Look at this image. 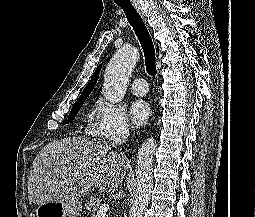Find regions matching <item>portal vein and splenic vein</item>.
<instances>
[{"label": "portal vein and splenic vein", "mask_w": 255, "mask_h": 217, "mask_svg": "<svg viewBox=\"0 0 255 217\" xmlns=\"http://www.w3.org/2000/svg\"><path fill=\"white\" fill-rule=\"evenodd\" d=\"M108 209H109V205L108 204H102L100 207H99V209H98V211H97V217H100V216H102V215H104L107 211H108Z\"/></svg>", "instance_id": "1"}]
</instances>
